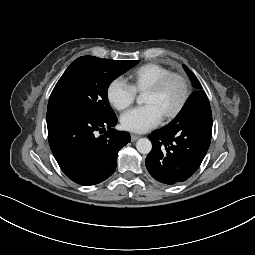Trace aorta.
I'll return each instance as SVG.
<instances>
[{"mask_svg":"<svg viewBox=\"0 0 255 255\" xmlns=\"http://www.w3.org/2000/svg\"><path fill=\"white\" fill-rule=\"evenodd\" d=\"M137 103L138 104L142 103V97L141 96H139L137 98ZM136 148H137L138 152H140L141 154H148V153H150V151L152 149V143L147 138H141L137 141Z\"/></svg>","mask_w":255,"mask_h":255,"instance_id":"aorta-1","label":"aorta"}]
</instances>
